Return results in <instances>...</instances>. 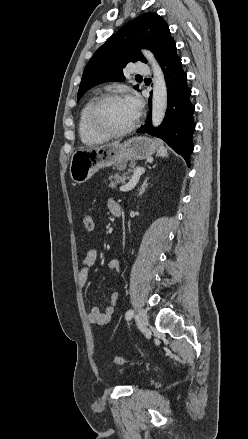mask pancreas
I'll list each match as a JSON object with an SVG mask.
<instances>
[{
	"label": "pancreas",
	"mask_w": 248,
	"mask_h": 439,
	"mask_svg": "<svg viewBox=\"0 0 248 439\" xmlns=\"http://www.w3.org/2000/svg\"><path fill=\"white\" fill-rule=\"evenodd\" d=\"M131 172L132 170H129L123 175H119V174L110 175L108 178V180L110 181L109 186L111 188H115L118 184L125 182V180L131 179L132 178V176H130Z\"/></svg>",
	"instance_id": "1"
}]
</instances>
